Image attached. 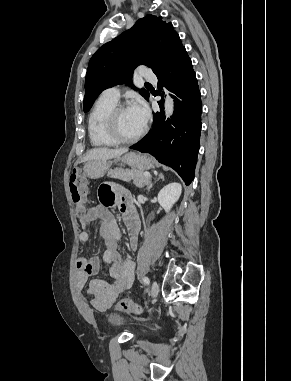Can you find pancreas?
<instances>
[{
	"mask_svg": "<svg viewBox=\"0 0 291 381\" xmlns=\"http://www.w3.org/2000/svg\"><path fill=\"white\" fill-rule=\"evenodd\" d=\"M107 176L111 178L127 181V182L133 180V183L138 187H141L144 184L149 183L150 181V178H147L144 176L143 171L136 170V169L125 170L122 168H117L115 170L109 171Z\"/></svg>",
	"mask_w": 291,
	"mask_h": 381,
	"instance_id": "pancreas-1",
	"label": "pancreas"
}]
</instances>
